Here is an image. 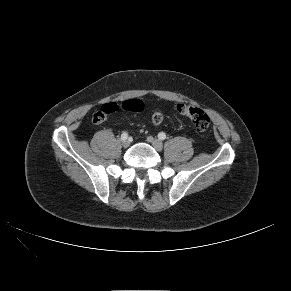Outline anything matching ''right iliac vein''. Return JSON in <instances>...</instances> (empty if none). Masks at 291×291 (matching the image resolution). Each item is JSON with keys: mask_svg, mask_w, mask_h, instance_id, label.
<instances>
[{"mask_svg": "<svg viewBox=\"0 0 291 291\" xmlns=\"http://www.w3.org/2000/svg\"><path fill=\"white\" fill-rule=\"evenodd\" d=\"M122 145H123L124 148H127V147L130 146V141H129V140H124V141L122 142Z\"/></svg>", "mask_w": 291, "mask_h": 291, "instance_id": "63e3f726", "label": "right iliac vein"}]
</instances>
